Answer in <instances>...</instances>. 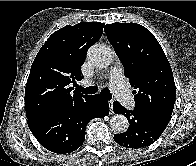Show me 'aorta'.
<instances>
[{"mask_svg":"<svg viewBox=\"0 0 196 166\" xmlns=\"http://www.w3.org/2000/svg\"><path fill=\"white\" fill-rule=\"evenodd\" d=\"M87 57L96 67L104 68L109 66L112 62L113 52L105 45L95 44L90 47ZM128 126V120L122 114H116L110 119V127L116 133L125 132Z\"/></svg>","mask_w":196,"mask_h":166,"instance_id":"762f6f07","label":"aorta"}]
</instances>
